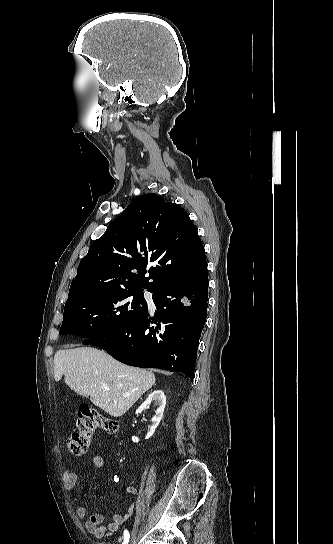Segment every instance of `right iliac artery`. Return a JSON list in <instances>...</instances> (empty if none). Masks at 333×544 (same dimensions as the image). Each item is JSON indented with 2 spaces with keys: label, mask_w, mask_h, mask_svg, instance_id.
<instances>
[{
  "label": "right iliac artery",
  "mask_w": 333,
  "mask_h": 544,
  "mask_svg": "<svg viewBox=\"0 0 333 544\" xmlns=\"http://www.w3.org/2000/svg\"><path fill=\"white\" fill-rule=\"evenodd\" d=\"M129 537H130V534H129L128 530H125V531H124V541H123V544H128V542H129Z\"/></svg>",
  "instance_id": "1"
}]
</instances>
